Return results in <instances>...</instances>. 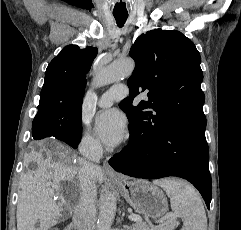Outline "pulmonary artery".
I'll return each mask as SVG.
<instances>
[{"label": "pulmonary artery", "mask_w": 241, "mask_h": 230, "mask_svg": "<svg viewBox=\"0 0 241 230\" xmlns=\"http://www.w3.org/2000/svg\"><path fill=\"white\" fill-rule=\"evenodd\" d=\"M128 87L124 84L113 86L98 99L100 107H109L115 100H121L128 96Z\"/></svg>", "instance_id": "pulmonary-artery-1"}]
</instances>
